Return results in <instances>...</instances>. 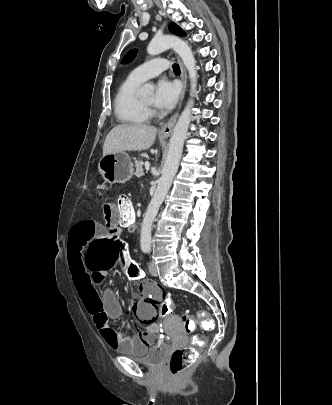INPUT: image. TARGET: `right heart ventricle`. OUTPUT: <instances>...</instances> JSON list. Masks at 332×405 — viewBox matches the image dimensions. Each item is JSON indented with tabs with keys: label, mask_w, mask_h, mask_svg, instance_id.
I'll return each mask as SVG.
<instances>
[{
	"label": "right heart ventricle",
	"mask_w": 332,
	"mask_h": 405,
	"mask_svg": "<svg viewBox=\"0 0 332 405\" xmlns=\"http://www.w3.org/2000/svg\"><path fill=\"white\" fill-rule=\"evenodd\" d=\"M142 82L128 77L119 87L114 99L117 120L126 125H137L148 121L149 114L137 96Z\"/></svg>",
	"instance_id": "e07e8e85"
}]
</instances>
